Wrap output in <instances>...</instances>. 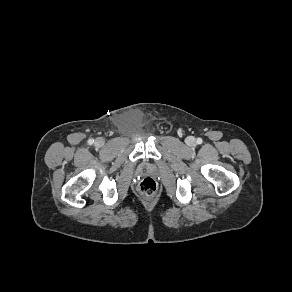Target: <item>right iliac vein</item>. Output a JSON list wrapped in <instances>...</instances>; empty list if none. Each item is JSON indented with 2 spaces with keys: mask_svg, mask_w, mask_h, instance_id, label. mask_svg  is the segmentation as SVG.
<instances>
[{
  "mask_svg": "<svg viewBox=\"0 0 292 292\" xmlns=\"http://www.w3.org/2000/svg\"><path fill=\"white\" fill-rule=\"evenodd\" d=\"M105 141L103 138H97L96 141H95V145L97 147H102L104 145Z\"/></svg>",
  "mask_w": 292,
  "mask_h": 292,
  "instance_id": "obj_1",
  "label": "right iliac vein"
}]
</instances>
